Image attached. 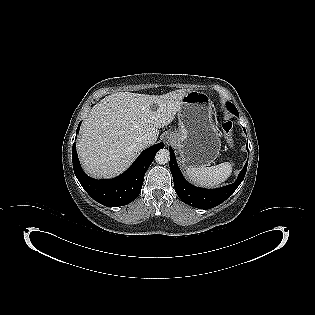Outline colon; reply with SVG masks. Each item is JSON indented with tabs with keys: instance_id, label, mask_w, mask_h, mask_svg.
<instances>
[{
	"instance_id": "colon-1",
	"label": "colon",
	"mask_w": 315,
	"mask_h": 315,
	"mask_svg": "<svg viewBox=\"0 0 315 315\" xmlns=\"http://www.w3.org/2000/svg\"><path fill=\"white\" fill-rule=\"evenodd\" d=\"M221 129L224 134V138L228 145L232 146L234 143L233 140V124L229 120H222L220 122Z\"/></svg>"
}]
</instances>
